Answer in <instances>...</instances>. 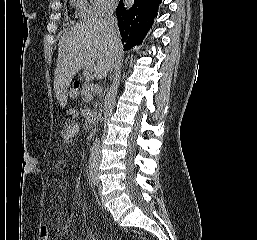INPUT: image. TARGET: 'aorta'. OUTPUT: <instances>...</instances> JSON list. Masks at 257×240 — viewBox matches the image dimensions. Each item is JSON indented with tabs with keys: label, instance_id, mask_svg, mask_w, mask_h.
<instances>
[{
	"label": "aorta",
	"instance_id": "aorta-1",
	"mask_svg": "<svg viewBox=\"0 0 257 240\" xmlns=\"http://www.w3.org/2000/svg\"><path fill=\"white\" fill-rule=\"evenodd\" d=\"M100 161V139L96 138L89 158V173L92 181H98L99 179Z\"/></svg>",
	"mask_w": 257,
	"mask_h": 240
}]
</instances>
